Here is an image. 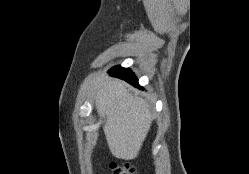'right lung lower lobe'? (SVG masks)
Returning a JSON list of instances; mask_svg holds the SVG:
<instances>
[{"instance_id":"obj_1","label":"right lung lower lobe","mask_w":249,"mask_h":174,"mask_svg":"<svg viewBox=\"0 0 249 174\" xmlns=\"http://www.w3.org/2000/svg\"><path fill=\"white\" fill-rule=\"evenodd\" d=\"M108 73L111 76L118 77L120 79L127 81L128 83L132 84L135 87L139 86L137 78L135 77L134 73L129 68H122L120 66H115V67H112L108 71ZM140 89L142 88L140 87Z\"/></svg>"}]
</instances>
